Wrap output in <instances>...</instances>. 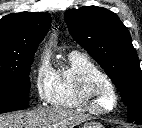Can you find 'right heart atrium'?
Segmentation results:
<instances>
[{
	"label": "right heart atrium",
	"instance_id": "right-heart-atrium-1",
	"mask_svg": "<svg viewBox=\"0 0 142 128\" xmlns=\"http://www.w3.org/2000/svg\"><path fill=\"white\" fill-rule=\"evenodd\" d=\"M54 75L55 71L51 67L47 56H40L32 73L33 88L39 101H49L54 82Z\"/></svg>",
	"mask_w": 142,
	"mask_h": 128
}]
</instances>
